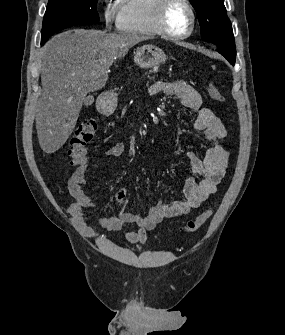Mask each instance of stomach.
<instances>
[{
    "label": "stomach",
    "mask_w": 285,
    "mask_h": 335,
    "mask_svg": "<svg viewBox=\"0 0 285 335\" xmlns=\"http://www.w3.org/2000/svg\"><path fill=\"white\" fill-rule=\"evenodd\" d=\"M166 54L157 46H141L137 48L134 56V62L140 68H158L165 64ZM98 110L102 112H113L117 106V94L114 92H104L97 100Z\"/></svg>",
    "instance_id": "obj_1"
}]
</instances>
